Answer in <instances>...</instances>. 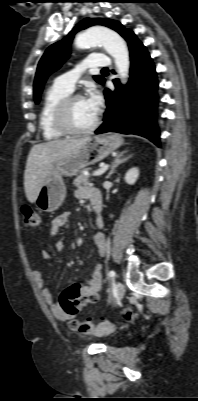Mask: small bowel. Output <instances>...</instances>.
Here are the masks:
<instances>
[{"label": "small bowel", "mask_w": 198, "mask_h": 401, "mask_svg": "<svg viewBox=\"0 0 198 401\" xmlns=\"http://www.w3.org/2000/svg\"><path fill=\"white\" fill-rule=\"evenodd\" d=\"M98 192L96 189L92 188H81L76 190L75 195L78 198H90L92 192ZM99 193V192H98ZM100 194V193H99ZM96 223L101 226L102 221L100 216L96 217ZM68 225V213H63L57 216L51 223L48 230L49 237L53 240L56 249L60 252L65 250L63 242L57 237L58 233L65 229ZM92 242L97 246L99 254L103 256L106 253V237L102 232H96L92 235ZM42 254L45 258L50 257V253L47 249L42 250ZM33 276L36 284L41 288V294L45 301L51 306L54 314L61 320L71 321V329L81 335H87L91 333H97L98 330L102 329L103 326L96 325L94 322L85 323L82 326L78 325V320H76L78 312L85 306L91 303H95L99 300L100 291L102 289V273L101 265L97 264L92 273L91 279L86 285L74 284L75 295L71 299V303L77 306V311L75 313L65 312L61 306H58L50 290L44 288V278L42 274L34 270Z\"/></svg>", "instance_id": "obj_1"}]
</instances>
